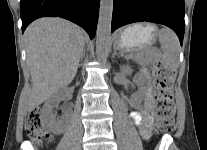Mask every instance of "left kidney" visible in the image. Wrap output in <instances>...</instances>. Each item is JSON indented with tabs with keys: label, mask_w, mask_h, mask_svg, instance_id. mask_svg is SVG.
Here are the masks:
<instances>
[{
	"label": "left kidney",
	"mask_w": 207,
	"mask_h": 150,
	"mask_svg": "<svg viewBox=\"0 0 207 150\" xmlns=\"http://www.w3.org/2000/svg\"><path fill=\"white\" fill-rule=\"evenodd\" d=\"M124 71V70H123ZM142 80L141 79H138V84L139 85H142ZM140 95H139V98L135 100V103L137 104V106L141 103L142 101V97H143V94H142V91H140Z\"/></svg>",
	"instance_id": "left-kidney-1"
}]
</instances>
